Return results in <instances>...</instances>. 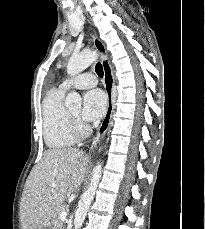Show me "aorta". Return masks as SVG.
Here are the masks:
<instances>
[{"mask_svg":"<svg viewBox=\"0 0 205 229\" xmlns=\"http://www.w3.org/2000/svg\"><path fill=\"white\" fill-rule=\"evenodd\" d=\"M98 54L95 51H84L80 54L72 55L67 64V74L76 75L89 67L96 59ZM81 96L75 92H70L65 100L67 107H81ZM102 165L100 162L94 167L92 177L87 190L81 195L74 217V228L79 229L86 217L88 209L93 201L97 186L101 178Z\"/></svg>","mask_w":205,"mask_h":229,"instance_id":"762f6f07","label":"aorta"}]
</instances>
